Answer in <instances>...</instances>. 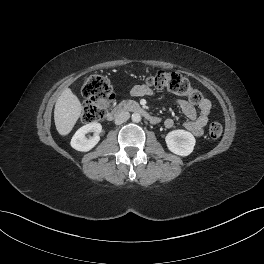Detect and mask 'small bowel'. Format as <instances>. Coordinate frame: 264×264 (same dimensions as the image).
<instances>
[{
    "label": "small bowel",
    "mask_w": 264,
    "mask_h": 264,
    "mask_svg": "<svg viewBox=\"0 0 264 264\" xmlns=\"http://www.w3.org/2000/svg\"><path fill=\"white\" fill-rule=\"evenodd\" d=\"M153 94L152 89L145 84L136 85L131 90V95L135 97H146ZM179 105L183 115L186 118L184 127L195 136H201L204 132V127L208 123L209 114L211 111V102L208 99L203 98L198 104L199 113H197L194 106L187 100L178 99ZM166 128H172L174 126V120L168 118L164 121Z\"/></svg>",
    "instance_id": "obj_1"
}]
</instances>
